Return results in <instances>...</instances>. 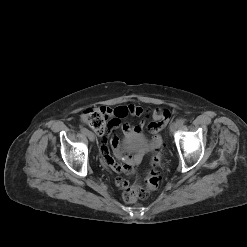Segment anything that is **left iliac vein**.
I'll use <instances>...</instances> for the list:
<instances>
[{
	"label": "left iliac vein",
	"mask_w": 247,
	"mask_h": 247,
	"mask_svg": "<svg viewBox=\"0 0 247 247\" xmlns=\"http://www.w3.org/2000/svg\"><path fill=\"white\" fill-rule=\"evenodd\" d=\"M179 123L176 121V122H173L171 125H170V131L173 133L174 131H176L178 128H179Z\"/></svg>",
	"instance_id": "left-iliac-vein-1"
}]
</instances>
